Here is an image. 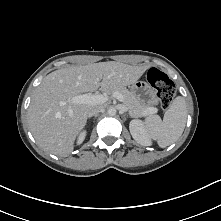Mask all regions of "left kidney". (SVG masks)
Listing matches in <instances>:
<instances>
[{
  "mask_svg": "<svg viewBox=\"0 0 221 221\" xmlns=\"http://www.w3.org/2000/svg\"><path fill=\"white\" fill-rule=\"evenodd\" d=\"M130 133L135 141L143 146H150L152 144L150 136L141 120L133 119L129 124Z\"/></svg>",
  "mask_w": 221,
  "mask_h": 221,
  "instance_id": "left-kidney-1",
  "label": "left kidney"
}]
</instances>
